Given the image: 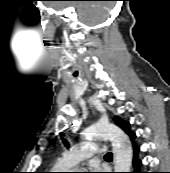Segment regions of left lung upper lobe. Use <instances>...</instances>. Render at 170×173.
<instances>
[{
  "label": "left lung upper lobe",
  "instance_id": "left-lung-upper-lobe-1",
  "mask_svg": "<svg viewBox=\"0 0 170 173\" xmlns=\"http://www.w3.org/2000/svg\"><path fill=\"white\" fill-rule=\"evenodd\" d=\"M114 121H115V123L118 125V126H120L123 130H125L126 131V133L130 136V138L132 139V140H134L135 139V133L134 132H132L131 130H130V128H129V123L127 122V121H123L121 118H119V117H116L115 119H114Z\"/></svg>",
  "mask_w": 170,
  "mask_h": 173
}]
</instances>
